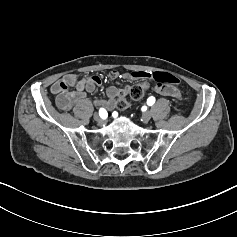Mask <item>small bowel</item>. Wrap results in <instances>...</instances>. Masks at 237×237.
I'll list each match as a JSON object with an SVG mask.
<instances>
[{
	"instance_id": "obj_1",
	"label": "small bowel",
	"mask_w": 237,
	"mask_h": 237,
	"mask_svg": "<svg viewBox=\"0 0 237 237\" xmlns=\"http://www.w3.org/2000/svg\"><path fill=\"white\" fill-rule=\"evenodd\" d=\"M149 72L134 71L131 73H119L113 70L109 73L111 79H143L148 78ZM102 85V78L98 75L79 78L76 74H66L51 86V93L55 96L56 105L62 111L74 110L81 118L89 115L93 106L103 107L107 110H113L117 105V98L121 91L116 86L108 87L106 99H98L93 103L86 100V95L92 93L97 87ZM154 91L163 96H169L179 99L178 89L171 85L158 83Z\"/></svg>"
}]
</instances>
